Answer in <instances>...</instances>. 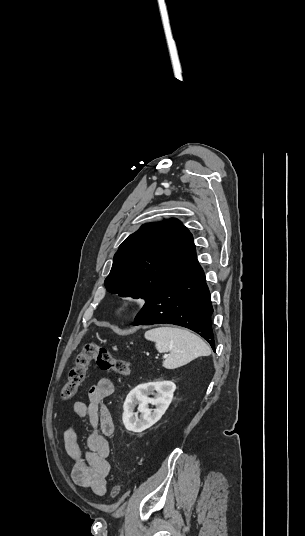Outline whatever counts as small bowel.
I'll list each match as a JSON object with an SVG mask.
<instances>
[{"mask_svg": "<svg viewBox=\"0 0 305 536\" xmlns=\"http://www.w3.org/2000/svg\"><path fill=\"white\" fill-rule=\"evenodd\" d=\"M115 390L109 378L100 379L89 390L88 402L76 401L73 404L74 414L78 418L87 417L94 431L88 436L87 451H83L78 443V435L74 426L64 432L65 450L73 462L72 479L81 486L89 488L98 496L107 492V478L110 463V445L107 437L113 433V421L104 400Z\"/></svg>", "mask_w": 305, "mask_h": 536, "instance_id": "c3829d8e", "label": "small bowel"}]
</instances>
